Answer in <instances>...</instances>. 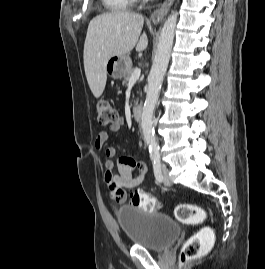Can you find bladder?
<instances>
[{"mask_svg":"<svg viewBox=\"0 0 265 269\" xmlns=\"http://www.w3.org/2000/svg\"><path fill=\"white\" fill-rule=\"evenodd\" d=\"M118 224L132 245L165 251L180 237L181 227L169 216L125 205L116 210Z\"/></svg>","mask_w":265,"mask_h":269,"instance_id":"31cf9c89","label":"bladder"}]
</instances>
